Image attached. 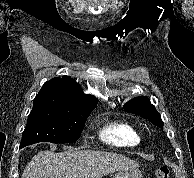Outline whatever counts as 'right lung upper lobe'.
I'll use <instances>...</instances> for the list:
<instances>
[{"label": "right lung upper lobe", "mask_w": 194, "mask_h": 178, "mask_svg": "<svg viewBox=\"0 0 194 178\" xmlns=\"http://www.w3.org/2000/svg\"><path fill=\"white\" fill-rule=\"evenodd\" d=\"M97 98L83 93L80 85L69 76L45 82L34 103H49L72 112H89L97 105Z\"/></svg>", "instance_id": "1"}]
</instances>
